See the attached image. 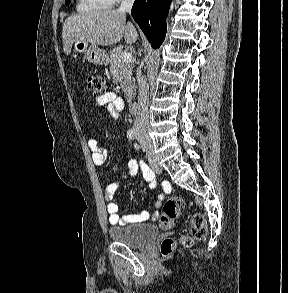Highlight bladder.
<instances>
[{
    "instance_id": "31cf9c89",
    "label": "bladder",
    "mask_w": 288,
    "mask_h": 293,
    "mask_svg": "<svg viewBox=\"0 0 288 293\" xmlns=\"http://www.w3.org/2000/svg\"><path fill=\"white\" fill-rule=\"evenodd\" d=\"M158 230L152 224L138 223L114 226L109 229L110 237L129 247H141L157 236Z\"/></svg>"
}]
</instances>
